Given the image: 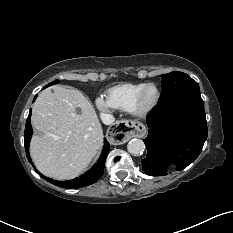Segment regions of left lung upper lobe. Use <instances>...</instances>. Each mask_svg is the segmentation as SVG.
I'll list each match as a JSON object with an SVG mask.
<instances>
[{"instance_id":"obj_1","label":"left lung upper lobe","mask_w":233,"mask_h":233,"mask_svg":"<svg viewBox=\"0 0 233 233\" xmlns=\"http://www.w3.org/2000/svg\"><path fill=\"white\" fill-rule=\"evenodd\" d=\"M161 77L163 92L160 102L184 91L200 90L197 82L185 73L171 72Z\"/></svg>"}]
</instances>
